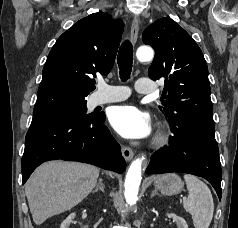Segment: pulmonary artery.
<instances>
[{"label": "pulmonary artery", "mask_w": 238, "mask_h": 228, "mask_svg": "<svg viewBox=\"0 0 238 228\" xmlns=\"http://www.w3.org/2000/svg\"><path fill=\"white\" fill-rule=\"evenodd\" d=\"M136 90L141 94H152L155 90L154 83L149 78H141L136 83ZM129 95L130 91L127 87L100 83L94 102L97 105L117 102L126 99Z\"/></svg>", "instance_id": "1"}]
</instances>
